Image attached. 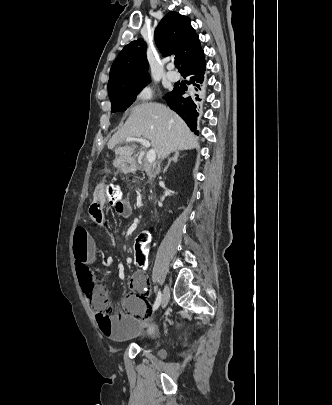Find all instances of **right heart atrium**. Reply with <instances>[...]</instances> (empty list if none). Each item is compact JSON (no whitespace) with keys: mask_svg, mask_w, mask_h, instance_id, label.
<instances>
[{"mask_svg":"<svg viewBox=\"0 0 332 405\" xmlns=\"http://www.w3.org/2000/svg\"><path fill=\"white\" fill-rule=\"evenodd\" d=\"M155 90L149 85H143L138 88L134 94L135 102H147L154 98Z\"/></svg>","mask_w":332,"mask_h":405,"instance_id":"d8ad5b80","label":"right heart atrium"}]
</instances>
